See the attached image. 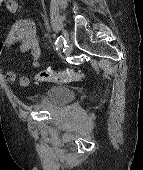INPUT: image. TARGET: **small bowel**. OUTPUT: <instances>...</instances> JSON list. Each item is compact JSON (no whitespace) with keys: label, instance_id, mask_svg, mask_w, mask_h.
I'll list each match as a JSON object with an SVG mask.
<instances>
[{"label":"small bowel","instance_id":"c3829d8e","mask_svg":"<svg viewBox=\"0 0 143 170\" xmlns=\"http://www.w3.org/2000/svg\"><path fill=\"white\" fill-rule=\"evenodd\" d=\"M5 10L9 13H15L18 9L17 0H7V3L2 4ZM1 6V5H0ZM20 43V50L22 52H28L30 60L33 66L36 68L39 65V59L41 56V48L36 34V27L33 20L29 18L18 19L10 28L6 34L4 40L0 43V55L5 47H9L15 43ZM4 78L7 82L13 83L16 81L17 76L14 71H7L4 74ZM26 79L29 85L30 78L25 75L20 77L19 84L21 81ZM22 86V85H21ZM23 86V87H26Z\"/></svg>","mask_w":143,"mask_h":170}]
</instances>
